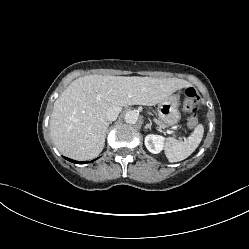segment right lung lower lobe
<instances>
[{"label":"right lung lower lobe","mask_w":249,"mask_h":249,"mask_svg":"<svg viewBox=\"0 0 249 249\" xmlns=\"http://www.w3.org/2000/svg\"><path fill=\"white\" fill-rule=\"evenodd\" d=\"M66 158V157H65ZM67 160L73 162V163H78V164H85L86 162H81V161H75V160H71L69 158H66ZM92 162V161H91ZM89 163V162H88Z\"/></svg>","instance_id":"right-lung-lower-lobe-1"}]
</instances>
